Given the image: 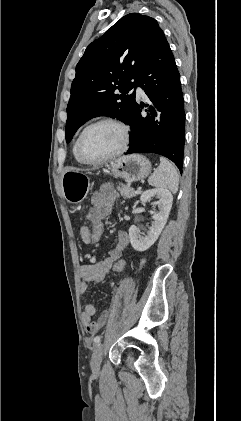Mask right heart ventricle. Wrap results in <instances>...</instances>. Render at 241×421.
Returning <instances> with one entry per match:
<instances>
[{
  "label": "right heart ventricle",
  "mask_w": 241,
  "mask_h": 421,
  "mask_svg": "<svg viewBox=\"0 0 241 421\" xmlns=\"http://www.w3.org/2000/svg\"><path fill=\"white\" fill-rule=\"evenodd\" d=\"M77 139L75 140V142L73 144L72 152H73V155H74L76 161L79 162V163H83L81 161V159L79 158L78 154H77Z\"/></svg>",
  "instance_id": "right-heart-ventricle-1"
}]
</instances>
